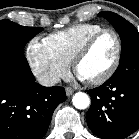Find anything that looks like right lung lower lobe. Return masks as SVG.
<instances>
[{"label":"right lung lower lobe","mask_w":139,"mask_h":139,"mask_svg":"<svg viewBox=\"0 0 139 139\" xmlns=\"http://www.w3.org/2000/svg\"><path fill=\"white\" fill-rule=\"evenodd\" d=\"M23 53L0 47V139H41L55 108L66 100L63 87L35 82Z\"/></svg>","instance_id":"right-lung-lower-lobe-1"}]
</instances>
